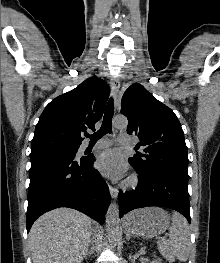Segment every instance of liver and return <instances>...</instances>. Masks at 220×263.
Here are the masks:
<instances>
[{
  "instance_id": "obj_1",
  "label": "liver",
  "mask_w": 220,
  "mask_h": 263,
  "mask_svg": "<svg viewBox=\"0 0 220 263\" xmlns=\"http://www.w3.org/2000/svg\"><path fill=\"white\" fill-rule=\"evenodd\" d=\"M98 224L70 208L43 214L29 233L33 263H81Z\"/></svg>"
}]
</instances>
